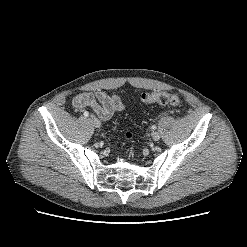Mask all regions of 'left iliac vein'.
<instances>
[{
	"label": "left iliac vein",
	"instance_id": "1",
	"mask_svg": "<svg viewBox=\"0 0 247 247\" xmlns=\"http://www.w3.org/2000/svg\"><path fill=\"white\" fill-rule=\"evenodd\" d=\"M152 138H153L154 141H158L160 139V133L157 132V131H154L152 133Z\"/></svg>",
	"mask_w": 247,
	"mask_h": 247
}]
</instances>
